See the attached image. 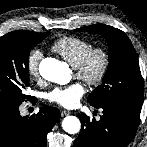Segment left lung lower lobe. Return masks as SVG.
Returning a JSON list of instances; mask_svg holds the SVG:
<instances>
[{
  "label": "left lung lower lobe",
  "mask_w": 147,
  "mask_h": 147,
  "mask_svg": "<svg viewBox=\"0 0 147 147\" xmlns=\"http://www.w3.org/2000/svg\"><path fill=\"white\" fill-rule=\"evenodd\" d=\"M96 108L103 109L99 121L79 114L81 130L74 147H127L137 131L140 111L119 104Z\"/></svg>",
  "instance_id": "1"
}]
</instances>
